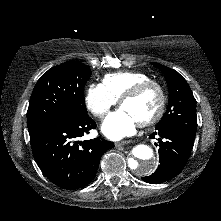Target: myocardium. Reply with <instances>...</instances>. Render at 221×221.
Masks as SVG:
<instances>
[{"instance_id":"obj_1","label":"myocardium","mask_w":221,"mask_h":221,"mask_svg":"<svg viewBox=\"0 0 221 221\" xmlns=\"http://www.w3.org/2000/svg\"><path fill=\"white\" fill-rule=\"evenodd\" d=\"M149 87H155L158 90L160 96L159 105L156 112L151 117L139 123L141 126H150L162 117L167 100L163 86L156 80L148 79L136 84L120 98V105L122 106L125 101L139 96Z\"/></svg>"}]
</instances>
